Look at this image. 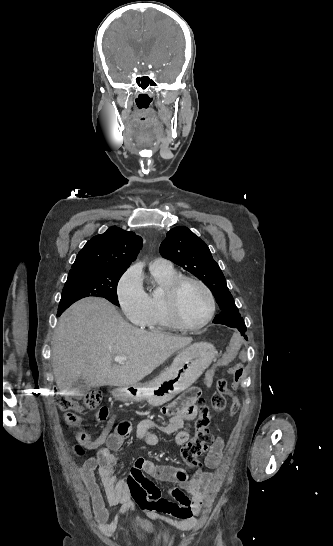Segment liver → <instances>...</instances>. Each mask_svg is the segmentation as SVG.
Masks as SVG:
<instances>
[{"mask_svg": "<svg viewBox=\"0 0 333 546\" xmlns=\"http://www.w3.org/2000/svg\"><path fill=\"white\" fill-rule=\"evenodd\" d=\"M192 341L137 329L107 300L85 298L59 318L52 341L55 381L63 391L80 378L90 387L134 385ZM114 355L127 360L113 364Z\"/></svg>", "mask_w": 333, "mask_h": 546, "instance_id": "6515ba94", "label": "liver"}]
</instances>
